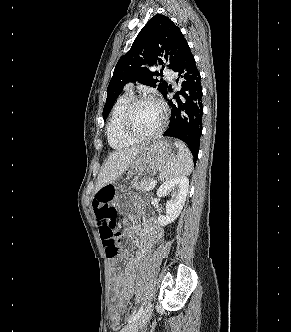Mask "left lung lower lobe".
Masks as SVG:
<instances>
[{
	"label": "left lung lower lobe",
	"instance_id": "left-lung-lower-lobe-1",
	"mask_svg": "<svg viewBox=\"0 0 291 332\" xmlns=\"http://www.w3.org/2000/svg\"><path fill=\"white\" fill-rule=\"evenodd\" d=\"M173 71L178 73L176 82L181 86V90L174 95L173 100L168 99L172 107L171 119L163 135L178 138L190 148L200 141L202 135L203 105L200 73L188 45ZM163 96L166 98L167 90ZM190 151L196 161L199 149Z\"/></svg>",
	"mask_w": 291,
	"mask_h": 332
}]
</instances>
